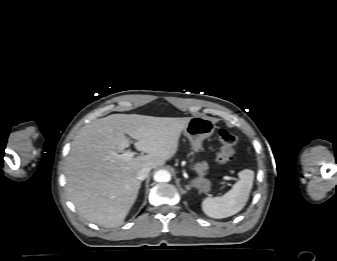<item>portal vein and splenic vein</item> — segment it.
<instances>
[{
	"instance_id": "1",
	"label": "portal vein and splenic vein",
	"mask_w": 337,
	"mask_h": 261,
	"mask_svg": "<svg viewBox=\"0 0 337 261\" xmlns=\"http://www.w3.org/2000/svg\"><path fill=\"white\" fill-rule=\"evenodd\" d=\"M135 153L134 152H125L123 154H118L115 155L116 160H121V161H129L134 157Z\"/></svg>"
}]
</instances>
